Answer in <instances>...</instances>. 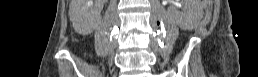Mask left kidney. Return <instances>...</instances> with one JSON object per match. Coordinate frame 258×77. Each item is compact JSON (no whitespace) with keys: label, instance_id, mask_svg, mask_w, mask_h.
<instances>
[{"label":"left kidney","instance_id":"1","mask_svg":"<svg viewBox=\"0 0 258 77\" xmlns=\"http://www.w3.org/2000/svg\"><path fill=\"white\" fill-rule=\"evenodd\" d=\"M178 1V0H176ZM188 2V1H186ZM176 20L179 23L180 26L187 28L190 25H192L194 23V13L193 10H191V8H187L184 10V12H178L176 13Z\"/></svg>","mask_w":258,"mask_h":77}]
</instances>
